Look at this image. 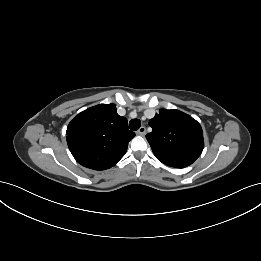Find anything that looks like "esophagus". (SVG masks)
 Wrapping results in <instances>:
<instances>
[{
    "label": "esophagus",
    "mask_w": 261,
    "mask_h": 261,
    "mask_svg": "<svg viewBox=\"0 0 261 261\" xmlns=\"http://www.w3.org/2000/svg\"><path fill=\"white\" fill-rule=\"evenodd\" d=\"M145 134H146V128L144 126H141L137 131V135L144 136Z\"/></svg>",
    "instance_id": "esophagus-1"
}]
</instances>
